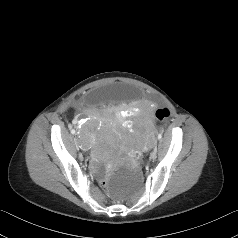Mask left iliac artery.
Listing matches in <instances>:
<instances>
[{
	"mask_svg": "<svg viewBox=\"0 0 238 238\" xmlns=\"http://www.w3.org/2000/svg\"><path fill=\"white\" fill-rule=\"evenodd\" d=\"M162 138V134H158V139H161Z\"/></svg>",
	"mask_w": 238,
	"mask_h": 238,
	"instance_id": "obj_1",
	"label": "left iliac artery"
}]
</instances>
